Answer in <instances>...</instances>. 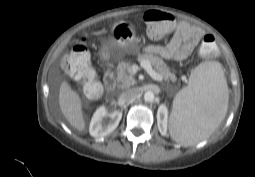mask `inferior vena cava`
Instances as JSON below:
<instances>
[{
  "mask_svg": "<svg viewBox=\"0 0 255 177\" xmlns=\"http://www.w3.org/2000/svg\"><path fill=\"white\" fill-rule=\"evenodd\" d=\"M139 95L140 91L138 89H129L121 94L120 99L124 102H132L139 97Z\"/></svg>",
  "mask_w": 255,
  "mask_h": 177,
  "instance_id": "1",
  "label": "inferior vena cava"
}]
</instances>
